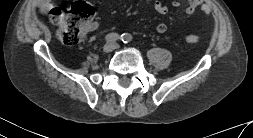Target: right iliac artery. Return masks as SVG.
<instances>
[{
  "label": "right iliac artery",
  "mask_w": 253,
  "mask_h": 138,
  "mask_svg": "<svg viewBox=\"0 0 253 138\" xmlns=\"http://www.w3.org/2000/svg\"><path fill=\"white\" fill-rule=\"evenodd\" d=\"M118 39H119V35L117 33H109L105 37V40L107 42H115Z\"/></svg>",
  "instance_id": "82829eb1"
}]
</instances>
